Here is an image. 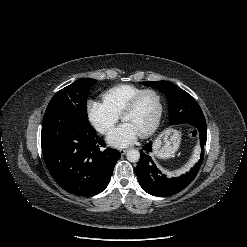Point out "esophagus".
<instances>
[{"label":"esophagus","instance_id":"esophagus-1","mask_svg":"<svg viewBox=\"0 0 247 247\" xmlns=\"http://www.w3.org/2000/svg\"><path fill=\"white\" fill-rule=\"evenodd\" d=\"M128 150L127 149H120L119 152L121 153V155H124Z\"/></svg>","mask_w":247,"mask_h":247}]
</instances>
